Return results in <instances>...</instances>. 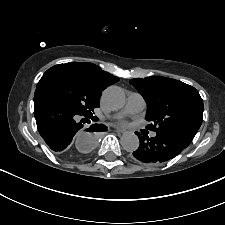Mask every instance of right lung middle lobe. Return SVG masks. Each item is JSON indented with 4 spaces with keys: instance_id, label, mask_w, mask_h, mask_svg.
I'll return each instance as SVG.
<instances>
[{
    "instance_id": "dd1d6c3e",
    "label": "right lung middle lobe",
    "mask_w": 225,
    "mask_h": 225,
    "mask_svg": "<svg viewBox=\"0 0 225 225\" xmlns=\"http://www.w3.org/2000/svg\"><path fill=\"white\" fill-rule=\"evenodd\" d=\"M36 90L54 96L85 117L92 116L94 108L99 107L100 96L83 79L60 66L48 69Z\"/></svg>"
}]
</instances>
